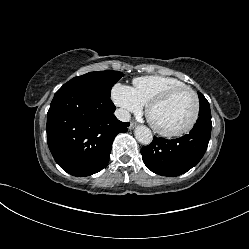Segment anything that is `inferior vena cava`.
I'll list each match as a JSON object with an SVG mask.
<instances>
[{
  "mask_svg": "<svg viewBox=\"0 0 249 249\" xmlns=\"http://www.w3.org/2000/svg\"><path fill=\"white\" fill-rule=\"evenodd\" d=\"M115 116L122 122H128L131 118L130 113L122 108H119L115 111Z\"/></svg>",
  "mask_w": 249,
  "mask_h": 249,
  "instance_id": "obj_1",
  "label": "inferior vena cava"
}]
</instances>
